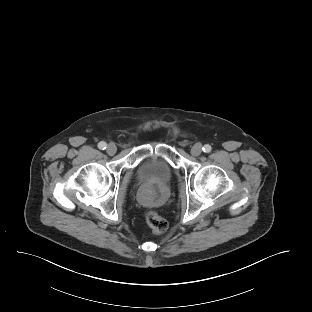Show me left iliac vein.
<instances>
[{"instance_id":"obj_1","label":"left iliac vein","mask_w":312,"mask_h":312,"mask_svg":"<svg viewBox=\"0 0 312 312\" xmlns=\"http://www.w3.org/2000/svg\"><path fill=\"white\" fill-rule=\"evenodd\" d=\"M202 153V146L199 143H196L191 148V154L193 156H199Z\"/></svg>"}]
</instances>
